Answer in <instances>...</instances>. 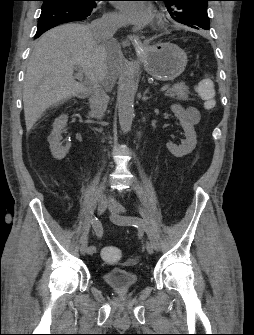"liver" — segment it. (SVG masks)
<instances>
[{
	"instance_id": "liver-1",
	"label": "liver",
	"mask_w": 254,
	"mask_h": 335,
	"mask_svg": "<svg viewBox=\"0 0 254 335\" xmlns=\"http://www.w3.org/2000/svg\"><path fill=\"white\" fill-rule=\"evenodd\" d=\"M123 55L114 40L97 42L89 26L69 23L57 26L36 42L30 56L23 86L24 115L27 130L50 107L90 91V82L103 76L110 91L119 77ZM85 76L74 77V68Z\"/></svg>"
}]
</instances>
